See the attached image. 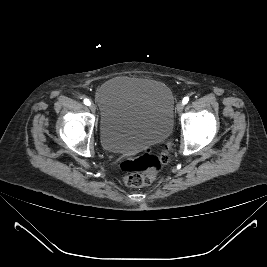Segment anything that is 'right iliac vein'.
Listing matches in <instances>:
<instances>
[{
    "instance_id": "1",
    "label": "right iliac vein",
    "mask_w": 267,
    "mask_h": 267,
    "mask_svg": "<svg viewBox=\"0 0 267 267\" xmlns=\"http://www.w3.org/2000/svg\"><path fill=\"white\" fill-rule=\"evenodd\" d=\"M90 109L92 112H96V105L94 103L90 104Z\"/></svg>"
}]
</instances>
